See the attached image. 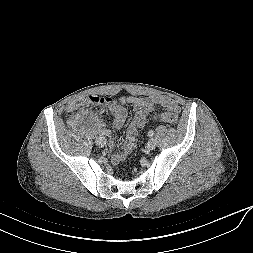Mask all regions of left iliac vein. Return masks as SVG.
<instances>
[{"instance_id": "left-iliac-vein-1", "label": "left iliac vein", "mask_w": 253, "mask_h": 253, "mask_svg": "<svg viewBox=\"0 0 253 253\" xmlns=\"http://www.w3.org/2000/svg\"><path fill=\"white\" fill-rule=\"evenodd\" d=\"M156 140L154 138H150L147 142V148L149 150H153L156 147Z\"/></svg>"}]
</instances>
